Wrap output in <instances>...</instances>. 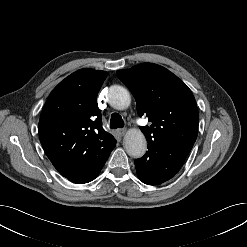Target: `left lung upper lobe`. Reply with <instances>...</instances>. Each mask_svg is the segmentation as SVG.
Listing matches in <instances>:
<instances>
[{
    "instance_id": "1",
    "label": "left lung upper lobe",
    "mask_w": 247,
    "mask_h": 247,
    "mask_svg": "<svg viewBox=\"0 0 247 247\" xmlns=\"http://www.w3.org/2000/svg\"><path fill=\"white\" fill-rule=\"evenodd\" d=\"M131 90L140 116L152 122L141 128L148 145L180 144L192 149L197 135L199 114L191 90L166 68L142 63L116 72Z\"/></svg>"
}]
</instances>
